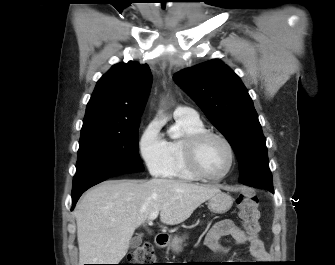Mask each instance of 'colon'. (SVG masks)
I'll list each match as a JSON object with an SVG mask.
<instances>
[{"instance_id":"5ec220e1","label":"colon","mask_w":335,"mask_h":265,"mask_svg":"<svg viewBox=\"0 0 335 265\" xmlns=\"http://www.w3.org/2000/svg\"><path fill=\"white\" fill-rule=\"evenodd\" d=\"M239 216L244 227L249 233H256L259 230L260 211L256 196L251 191L242 192L237 198ZM155 254L153 247L146 243L136 248L125 265H153Z\"/></svg>"}]
</instances>
